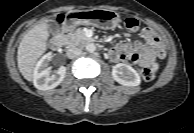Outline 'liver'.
<instances>
[{
  "instance_id": "obj_1",
  "label": "liver",
  "mask_w": 194,
  "mask_h": 133,
  "mask_svg": "<svg viewBox=\"0 0 194 133\" xmlns=\"http://www.w3.org/2000/svg\"><path fill=\"white\" fill-rule=\"evenodd\" d=\"M49 28L46 22L30 29L19 44L17 63L22 76L31 81L37 60L45 53L49 38Z\"/></svg>"
}]
</instances>
